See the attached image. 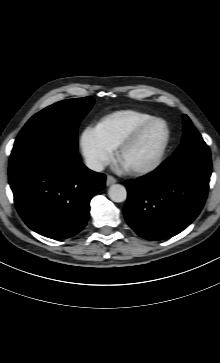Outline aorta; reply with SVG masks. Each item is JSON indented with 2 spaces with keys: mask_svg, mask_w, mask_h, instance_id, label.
I'll list each match as a JSON object with an SVG mask.
<instances>
[{
  "mask_svg": "<svg viewBox=\"0 0 220 363\" xmlns=\"http://www.w3.org/2000/svg\"><path fill=\"white\" fill-rule=\"evenodd\" d=\"M108 196L114 202L117 203L123 202L127 198L126 188L123 185L114 184L110 186L108 190Z\"/></svg>",
  "mask_w": 220,
  "mask_h": 363,
  "instance_id": "aorta-1",
  "label": "aorta"
}]
</instances>
